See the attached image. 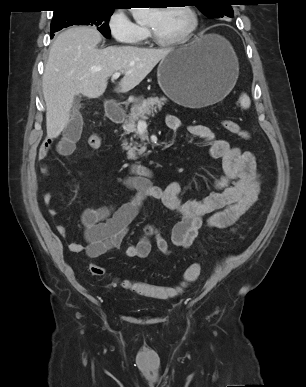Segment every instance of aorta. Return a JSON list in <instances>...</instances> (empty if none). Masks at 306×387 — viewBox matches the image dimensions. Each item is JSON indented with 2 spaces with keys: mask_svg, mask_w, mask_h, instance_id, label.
Here are the masks:
<instances>
[{
  "mask_svg": "<svg viewBox=\"0 0 306 387\" xmlns=\"http://www.w3.org/2000/svg\"><path fill=\"white\" fill-rule=\"evenodd\" d=\"M150 8H131V13L134 20L138 23L142 22L150 14Z\"/></svg>",
  "mask_w": 306,
  "mask_h": 387,
  "instance_id": "1",
  "label": "aorta"
}]
</instances>
